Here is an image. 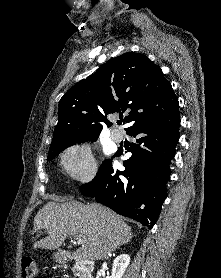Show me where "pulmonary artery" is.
Wrapping results in <instances>:
<instances>
[{"instance_id":"1","label":"pulmonary artery","mask_w":221,"mask_h":278,"mask_svg":"<svg viewBox=\"0 0 221 278\" xmlns=\"http://www.w3.org/2000/svg\"><path fill=\"white\" fill-rule=\"evenodd\" d=\"M123 132L119 129H114L112 132H111V138L116 141V142H120L123 140Z\"/></svg>"}]
</instances>
